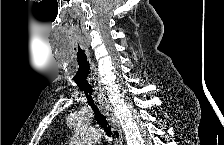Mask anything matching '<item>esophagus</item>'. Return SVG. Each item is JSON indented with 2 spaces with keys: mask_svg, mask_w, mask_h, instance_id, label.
Instances as JSON below:
<instances>
[{
  "mask_svg": "<svg viewBox=\"0 0 224 145\" xmlns=\"http://www.w3.org/2000/svg\"><path fill=\"white\" fill-rule=\"evenodd\" d=\"M96 101L98 103L100 110L107 116L111 124L115 145H122L123 144L122 130L120 127L119 120L116 117L111 104L107 101L102 92L99 93Z\"/></svg>",
  "mask_w": 224,
  "mask_h": 145,
  "instance_id": "1",
  "label": "esophagus"
}]
</instances>
